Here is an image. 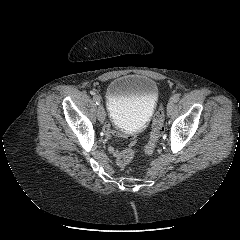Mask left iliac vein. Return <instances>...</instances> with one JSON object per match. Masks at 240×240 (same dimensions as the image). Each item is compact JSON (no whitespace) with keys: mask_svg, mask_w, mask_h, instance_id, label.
Masks as SVG:
<instances>
[{"mask_svg":"<svg viewBox=\"0 0 240 240\" xmlns=\"http://www.w3.org/2000/svg\"><path fill=\"white\" fill-rule=\"evenodd\" d=\"M173 110H174V102L173 101H169L168 104H167V115L171 116Z\"/></svg>","mask_w":240,"mask_h":240,"instance_id":"4c4485c4","label":"left iliac vein"}]
</instances>
